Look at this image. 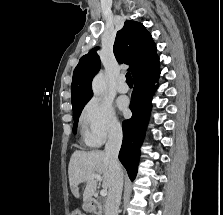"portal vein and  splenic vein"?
Returning <instances> with one entry per match:
<instances>
[{"label": "portal vein and splenic vein", "mask_w": 223, "mask_h": 215, "mask_svg": "<svg viewBox=\"0 0 223 215\" xmlns=\"http://www.w3.org/2000/svg\"><path fill=\"white\" fill-rule=\"evenodd\" d=\"M89 177H95L96 181H102V177L99 173H91ZM100 195H107V189H101Z\"/></svg>", "instance_id": "1"}]
</instances>
